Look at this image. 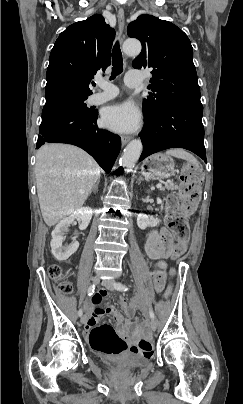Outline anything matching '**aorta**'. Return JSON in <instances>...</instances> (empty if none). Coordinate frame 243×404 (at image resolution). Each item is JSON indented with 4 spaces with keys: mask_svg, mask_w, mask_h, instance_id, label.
<instances>
[{
    "mask_svg": "<svg viewBox=\"0 0 243 404\" xmlns=\"http://www.w3.org/2000/svg\"><path fill=\"white\" fill-rule=\"evenodd\" d=\"M122 50L126 56H138L142 50V46L139 40H133L132 38V40H125V42H123ZM142 150L143 146L141 140H132V142H129L119 163V168L121 170L133 168L136 162H138Z\"/></svg>",
    "mask_w": 243,
    "mask_h": 404,
    "instance_id": "762f6f07",
    "label": "aorta"
}]
</instances>
